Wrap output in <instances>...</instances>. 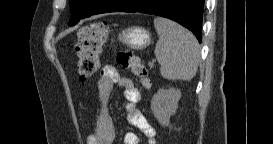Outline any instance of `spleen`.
Segmentation results:
<instances>
[{
    "label": "spleen",
    "instance_id": "3e777b00",
    "mask_svg": "<svg viewBox=\"0 0 273 144\" xmlns=\"http://www.w3.org/2000/svg\"><path fill=\"white\" fill-rule=\"evenodd\" d=\"M159 39L155 56L161 65L160 73L168 80L190 81L196 75L199 63V46L195 36L163 17L154 19Z\"/></svg>",
    "mask_w": 273,
    "mask_h": 144
}]
</instances>
